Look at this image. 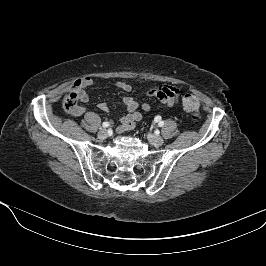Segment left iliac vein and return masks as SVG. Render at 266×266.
Segmentation results:
<instances>
[{
    "instance_id": "1",
    "label": "left iliac vein",
    "mask_w": 266,
    "mask_h": 266,
    "mask_svg": "<svg viewBox=\"0 0 266 266\" xmlns=\"http://www.w3.org/2000/svg\"><path fill=\"white\" fill-rule=\"evenodd\" d=\"M149 138L155 146H161L164 143V140L161 136L151 134L149 135Z\"/></svg>"
}]
</instances>
